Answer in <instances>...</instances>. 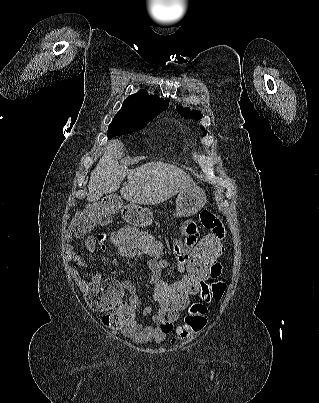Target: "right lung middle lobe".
Masks as SVG:
<instances>
[{
    "label": "right lung middle lobe",
    "mask_w": 319,
    "mask_h": 403,
    "mask_svg": "<svg viewBox=\"0 0 319 403\" xmlns=\"http://www.w3.org/2000/svg\"><path fill=\"white\" fill-rule=\"evenodd\" d=\"M154 117L145 120H135L116 115L109 125L107 137L111 139L115 136H122L140 130L148 123V121L152 120Z\"/></svg>",
    "instance_id": "1"
}]
</instances>
